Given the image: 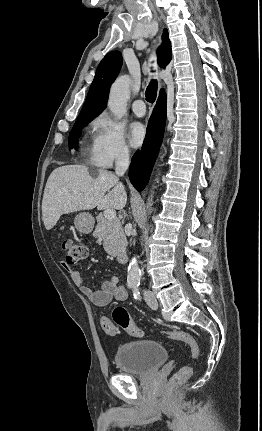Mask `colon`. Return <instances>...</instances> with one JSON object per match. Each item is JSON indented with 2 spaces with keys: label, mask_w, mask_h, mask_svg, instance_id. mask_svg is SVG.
Returning a JSON list of instances; mask_svg holds the SVG:
<instances>
[{
  "label": "colon",
  "mask_w": 262,
  "mask_h": 431,
  "mask_svg": "<svg viewBox=\"0 0 262 431\" xmlns=\"http://www.w3.org/2000/svg\"><path fill=\"white\" fill-rule=\"evenodd\" d=\"M62 249L65 253L63 261L65 265L75 264L87 256L86 246L74 239H65L62 242ZM101 327L108 335H115L120 329L125 330L130 336H140L142 334L140 328L131 320L128 310L124 307L114 309L112 320L102 317ZM164 334L187 344L191 350L192 358L198 359L200 354L199 344L191 333L172 329L165 331ZM191 376L192 368L190 366H183L173 375L170 385H180L189 380Z\"/></svg>",
  "instance_id": "5ec220e1"
}]
</instances>
